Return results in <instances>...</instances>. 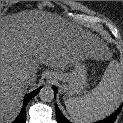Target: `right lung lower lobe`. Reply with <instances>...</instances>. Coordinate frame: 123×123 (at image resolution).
I'll return each mask as SVG.
<instances>
[{
  "instance_id": "obj_1",
  "label": "right lung lower lobe",
  "mask_w": 123,
  "mask_h": 123,
  "mask_svg": "<svg viewBox=\"0 0 123 123\" xmlns=\"http://www.w3.org/2000/svg\"><path fill=\"white\" fill-rule=\"evenodd\" d=\"M42 87L34 90L33 92L27 94L24 99V106L19 115V117L14 121V123H26V116H25V107L27 103L41 90Z\"/></svg>"
}]
</instances>
